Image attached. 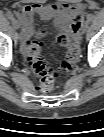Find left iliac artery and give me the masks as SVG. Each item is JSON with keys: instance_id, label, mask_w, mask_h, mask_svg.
<instances>
[{"instance_id": "44dca946", "label": "left iliac artery", "mask_w": 104, "mask_h": 137, "mask_svg": "<svg viewBox=\"0 0 104 137\" xmlns=\"http://www.w3.org/2000/svg\"><path fill=\"white\" fill-rule=\"evenodd\" d=\"M93 18H94V16H93L92 14H89V15L87 16V20H88V21H92Z\"/></svg>"}]
</instances>
